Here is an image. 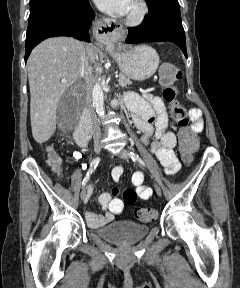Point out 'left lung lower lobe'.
<instances>
[{
  "instance_id": "left-lung-lower-lobe-1",
  "label": "left lung lower lobe",
  "mask_w": 240,
  "mask_h": 288,
  "mask_svg": "<svg viewBox=\"0 0 240 288\" xmlns=\"http://www.w3.org/2000/svg\"><path fill=\"white\" fill-rule=\"evenodd\" d=\"M148 8L149 14L142 24L128 28L126 43L171 41L178 45L187 57L178 0H151Z\"/></svg>"
}]
</instances>
